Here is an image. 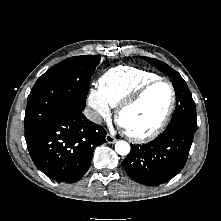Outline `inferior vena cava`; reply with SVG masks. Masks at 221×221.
Masks as SVG:
<instances>
[{
  "label": "inferior vena cava",
  "mask_w": 221,
  "mask_h": 221,
  "mask_svg": "<svg viewBox=\"0 0 221 221\" xmlns=\"http://www.w3.org/2000/svg\"><path fill=\"white\" fill-rule=\"evenodd\" d=\"M85 114H86V116H87L90 120L94 121L95 123H101V122H102L101 117H99L97 114H95V113H93V112H90L89 110H86V111H85Z\"/></svg>",
  "instance_id": "1"
}]
</instances>
